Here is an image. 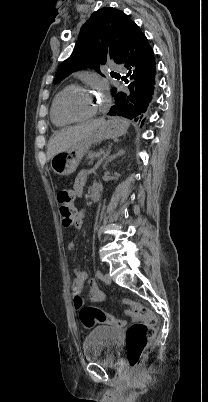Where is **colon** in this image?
I'll list each match as a JSON object with an SVG mask.
<instances>
[{
    "mask_svg": "<svg viewBox=\"0 0 208 402\" xmlns=\"http://www.w3.org/2000/svg\"><path fill=\"white\" fill-rule=\"evenodd\" d=\"M76 192L73 187H63L57 193L61 225L64 228H72L78 223L75 212ZM122 304H127V299H122ZM79 309V319L85 330L94 328L98 324H116L122 325V322L112 313L105 312L98 307L85 305L83 299L79 297L77 303ZM137 315L146 318L144 323L127 325V350L128 361L134 365L138 363L144 353L149 339L152 337L157 321L151 318L149 311L141 307L138 303L133 305Z\"/></svg>",
    "mask_w": 208,
    "mask_h": 402,
    "instance_id": "colon-1",
    "label": "colon"
}]
</instances>
